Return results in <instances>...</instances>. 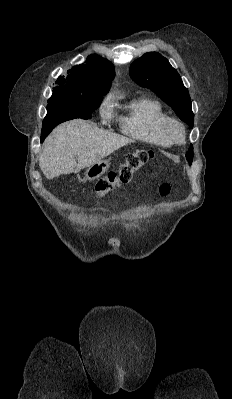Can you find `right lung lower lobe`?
<instances>
[{
    "label": "right lung lower lobe",
    "instance_id": "right-lung-lower-lobe-1",
    "mask_svg": "<svg viewBox=\"0 0 232 399\" xmlns=\"http://www.w3.org/2000/svg\"><path fill=\"white\" fill-rule=\"evenodd\" d=\"M47 116L43 120L42 132H41V142L48 136V134L60 123L81 118V119H89L91 118V114L85 115H73L66 112H62L59 110L48 109L47 108Z\"/></svg>",
    "mask_w": 232,
    "mask_h": 399
}]
</instances>
